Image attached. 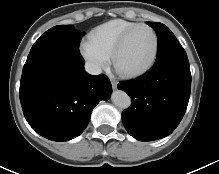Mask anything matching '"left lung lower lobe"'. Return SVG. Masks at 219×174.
Instances as JSON below:
<instances>
[{"label":"left lung lower lobe","mask_w":219,"mask_h":174,"mask_svg":"<svg viewBox=\"0 0 219 174\" xmlns=\"http://www.w3.org/2000/svg\"><path fill=\"white\" fill-rule=\"evenodd\" d=\"M132 98L122 112L127 132L140 141L171 134L186 111L191 89L187 55H171L155 61L145 75L118 84Z\"/></svg>","instance_id":"0a47b994"}]
</instances>
